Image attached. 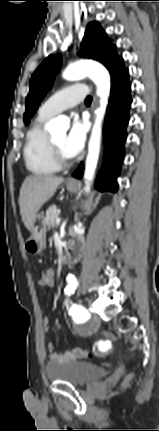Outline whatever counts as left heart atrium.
<instances>
[{
    "mask_svg": "<svg viewBox=\"0 0 159 431\" xmlns=\"http://www.w3.org/2000/svg\"><path fill=\"white\" fill-rule=\"evenodd\" d=\"M86 127L79 119H74L64 141V150L70 157L78 155L85 143Z\"/></svg>",
    "mask_w": 159,
    "mask_h": 431,
    "instance_id": "1",
    "label": "left heart atrium"
}]
</instances>
